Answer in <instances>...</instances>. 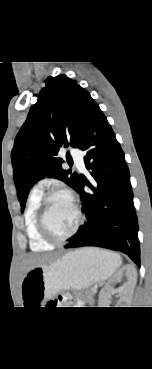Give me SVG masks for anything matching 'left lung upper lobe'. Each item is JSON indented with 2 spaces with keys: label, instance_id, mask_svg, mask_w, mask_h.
Segmentation results:
<instances>
[{
  "label": "left lung upper lobe",
  "instance_id": "left-lung-upper-lobe-1",
  "mask_svg": "<svg viewBox=\"0 0 152 369\" xmlns=\"http://www.w3.org/2000/svg\"><path fill=\"white\" fill-rule=\"evenodd\" d=\"M45 83L16 136L11 154L22 212L30 188L46 176L75 189L79 176L62 168L64 161L57 153L62 146L80 147L99 107L87 91L66 75L49 77Z\"/></svg>",
  "mask_w": 152,
  "mask_h": 369
}]
</instances>
